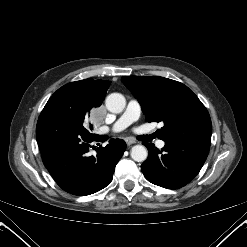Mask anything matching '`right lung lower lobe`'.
I'll return each mask as SVG.
<instances>
[{
  "instance_id": "1",
  "label": "right lung lower lobe",
  "mask_w": 247,
  "mask_h": 247,
  "mask_svg": "<svg viewBox=\"0 0 247 247\" xmlns=\"http://www.w3.org/2000/svg\"><path fill=\"white\" fill-rule=\"evenodd\" d=\"M42 160L56 183L66 192L86 196L105 188L112 180L115 166L126 143L111 139L106 147L88 156L90 143L100 136L63 114L42 111L36 127Z\"/></svg>"
}]
</instances>
